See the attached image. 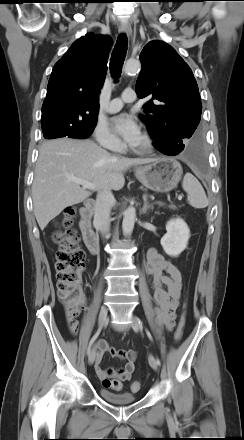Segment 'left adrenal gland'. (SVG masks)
<instances>
[{
	"instance_id": "a2214340",
	"label": "left adrenal gland",
	"mask_w": 244,
	"mask_h": 440,
	"mask_svg": "<svg viewBox=\"0 0 244 440\" xmlns=\"http://www.w3.org/2000/svg\"><path fill=\"white\" fill-rule=\"evenodd\" d=\"M147 198H148L147 195H144V196H143L144 205H143V207H142V209H141V213H143V214L147 213V211L150 210V209L153 210V208H154V207H153V204H149V203L147 202Z\"/></svg>"
}]
</instances>
